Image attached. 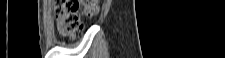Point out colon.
<instances>
[{
    "label": "colon",
    "instance_id": "colon-1",
    "mask_svg": "<svg viewBox=\"0 0 225 58\" xmlns=\"http://www.w3.org/2000/svg\"><path fill=\"white\" fill-rule=\"evenodd\" d=\"M84 5V12L92 17L98 11L96 1L57 0L55 10L59 32L66 37H75L81 29L80 6Z\"/></svg>",
    "mask_w": 225,
    "mask_h": 58
}]
</instances>
